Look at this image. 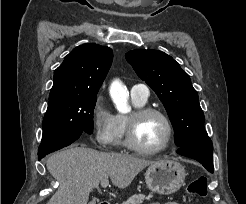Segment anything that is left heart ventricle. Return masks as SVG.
Segmentation results:
<instances>
[{
	"mask_svg": "<svg viewBox=\"0 0 246 204\" xmlns=\"http://www.w3.org/2000/svg\"><path fill=\"white\" fill-rule=\"evenodd\" d=\"M167 136V126L164 120L157 115H150L143 118L137 128L138 143L149 149L161 146Z\"/></svg>",
	"mask_w": 246,
	"mask_h": 204,
	"instance_id": "obj_1",
	"label": "left heart ventricle"
}]
</instances>
